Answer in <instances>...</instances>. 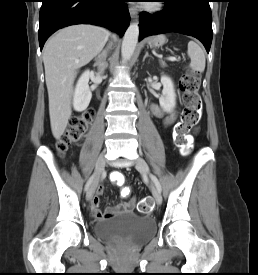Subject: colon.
<instances>
[{
    "label": "colon",
    "mask_w": 258,
    "mask_h": 275,
    "mask_svg": "<svg viewBox=\"0 0 258 275\" xmlns=\"http://www.w3.org/2000/svg\"><path fill=\"white\" fill-rule=\"evenodd\" d=\"M200 79L196 72H187L180 78V90L183 94L184 110L182 112L181 122L176 127V142L184 154L189 153L191 140L190 131L199 123L201 118L202 100L199 90ZM93 111L87 110L70 119L69 126L61 136L58 142V150L64 153L72 145L77 144L85 134L91 120ZM111 181L122 188V195L130 194V188L124 186L125 176L122 172H113ZM142 213H148L153 209L152 198L142 199L138 205Z\"/></svg>",
    "instance_id": "5ec220e1"
}]
</instances>
